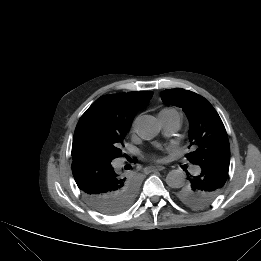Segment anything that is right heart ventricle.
<instances>
[{
  "label": "right heart ventricle",
  "instance_id": "right-heart-ventricle-1",
  "mask_svg": "<svg viewBox=\"0 0 261 261\" xmlns=\"http://www.w3.org/2000/svg\"><path fill=\"white\" fill-rule=\"evenodd\" d=\"M170 108H165V109H163V110H169Z\"/></svg>",
  "mask_w": 261,
  "mask_h": 261
}]
</instances>
